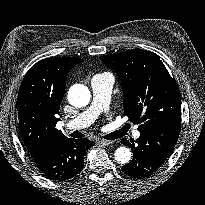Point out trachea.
<instances>
[{
    "mask_svg": "<svg viewBox=\"0 0 205 205\" xmlns=\"http://www.w3.org/2000/svg\"><path fill=\"white\" fill-rule=\"evenodd\" d=\"M128 130V126H125L124 128L117 130L113 133H110L109 135L106 136V139L108 140H113V139H117L122 137L123 135H125L126 131ZM72 137L74 138H81L83 137L82 133H80L79 131H74L72 133Z\"/></svg>",
    "mask_w": 205,
    "mask_h": 205,
    "instance_id": "obj_1",
    "label": "trachea"
}]
</instances>
